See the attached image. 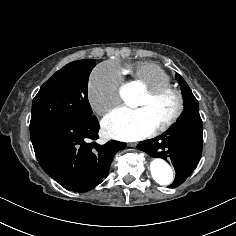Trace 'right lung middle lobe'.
I'll list each match as a JSON object with an SVG mask.
<instances>
[{"instance_id": "right-lung-middle-lobe-1", "label": "right lung middle lobe", "mask_w": 236, "mask_h": 236, "mask_svg": "<svg viewBox=\"0 0 236 236\" xmlns=\"http://www.w3.org/2000/svg\"><path fill=\"white\" fill-rule=\"evenodd\" d=\"M95 65V60L83 59L54 73L33 99L30 126L59 118L92 116L87 88Z\"/></svg>"}]
</instances>
